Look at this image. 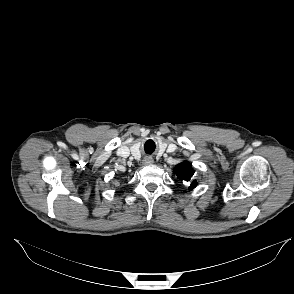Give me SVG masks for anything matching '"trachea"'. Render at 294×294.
<instances>
[{
  "instance_id": "1",
  "label": "trachea",
  "mask_w": 294,
  "mask_h": 294,
  "mask_svg": "<svg viewBox=\"0 0 294 294\" xmlns=\"http://www.w3.org/2000/svg\"><path fill=\"white\" fill-rule=\"evenodd\" d=\"M145 152H146V153H149V154L153 152V141L148 140V141L145 143Z\"/></svg>"
}]
</instances>
